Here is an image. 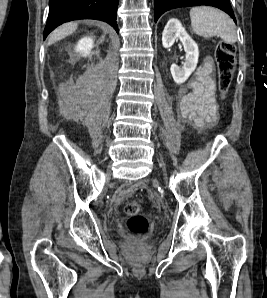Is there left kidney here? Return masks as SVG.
<instances>
[{"instance_id": "1", "label": "left kidney", "mask_w": 267, "mask_h": 298, "mask_svg": "<svg viewBox=\"0 0 267 298\" xmlns=\"http://www.w3.org/2000/svg\"><path fill=\"white\" fill-rule=\"evenodd\" d=\"M180 39L186 52V61L182 69L172 64L170 71L177 84L184 83L194 72L198 63L199 49L196 42L189 36L181 22L177 19H170L162 33V44L164 48H170L174 42Z\"/></svg>"}]
</instances>
